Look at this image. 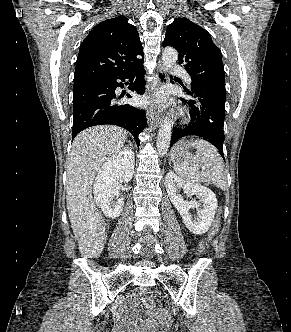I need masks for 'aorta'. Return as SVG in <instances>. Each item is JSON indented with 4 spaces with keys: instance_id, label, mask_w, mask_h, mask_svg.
<instances>
[{
    "instance_id": "aorta-1",
    "label": "aorta",
    "mask_w": 291,
    "mask_h": 332,
    "mask_svg": "<svg viewBox=\"0 0 291 332\" xmlns=\"http://www.w3.org/2000/svg\"><path fill=\"white\" fill-rule=\"evenodd\" d=\"M178 60V53L172 47H166L162 53V63L166 70L171 69ZM171 121L166 117L161 124V127L157 136V150L161 156L165 155L168 151L171 141Z\"/></svg>"
}]
</instances>
